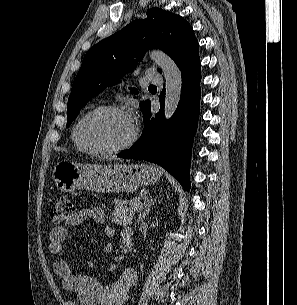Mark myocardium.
<instances>
[{
  "label": "myocardium",
  "instance_id": "f54148a6",
  "mask_svg": "<svg viewBox=\"0 0 297 305\" xmlns=\"http://www.w3.org/2000/svg\"><path fill=\"white\" fill-rule=\"evenodd\" d=\"M99 113H116L127 116L132 123V131L128 139L122 144L110 148L96 147L87 144L82 137V133H81L82 125L88 118ZM138 131H139L138 125L128 110L117 105H104V106L96 107L85 113L77 122L74 128V135L77 144L85 152H89L93 154H101V155H111V154L120 153L130 148L137 140Z\"/></svg>",
  "mask_w": 297,
  "mask_h": 305
}]
</instances>
